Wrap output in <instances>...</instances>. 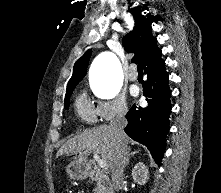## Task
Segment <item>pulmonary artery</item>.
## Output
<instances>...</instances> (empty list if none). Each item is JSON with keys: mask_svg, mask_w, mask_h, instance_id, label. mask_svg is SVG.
I'll use <instances>...</instances> for the list:
<instances>
[{"mask_svg": "<svg viewBox=\"0 0 221 193\" xmlns=\"http://www.w3.org/2000/svg\"><path fill=\"white\" fill-rule=\"evenodd\" d=\"M127 77L130 81H136L138 79L137 72L133 69L127 73Z\"/></svg>", "mask_w": 221, "mask_h": 193, "instance_id": "1", "label": "pulmonary artery"}]
</instances>
